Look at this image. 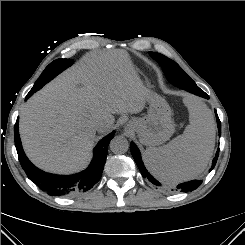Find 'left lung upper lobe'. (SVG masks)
<instances>
[{"mask_svg":"<svg viewBox=\"0 0 245 245\" xmlns=\"http://www.w3.org/2000/svg\"><path fill=\"white\" fill-rule=\"evenodd\" d=\"M149 55L161 65L167 79L172 84L177 85L178 82L183 81L188 83V85L191 87L197 86L195 82L173 60L156 52H149Z\"/></svg>","mask_w":245,"mask_h":245,"instance_id":"5c2ea615","label":"left lung upper lobe"}]
</instances>
